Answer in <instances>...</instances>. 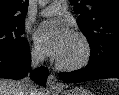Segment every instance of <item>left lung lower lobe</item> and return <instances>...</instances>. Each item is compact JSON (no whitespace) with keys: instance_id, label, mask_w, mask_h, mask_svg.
I'll return each mask as SVG.
<instances>
[{"instance_id":"0a47b994","label":"left lung lower lobe","mask_w":119,"mask_h":95,"mask_svg":"<svg viewBox=\"0 0 119 95\" xmlns=\"http://www.w3.org/2000/svg\"><path fill=\"white\" fill-rule=\"evenodd\" d=\"M60 78L66 83H78L89 80L104 78H119V50L115 51L109 58L96 64L89 60L87 67L70 73H60Z\"/></svg>"}]
</instances>
